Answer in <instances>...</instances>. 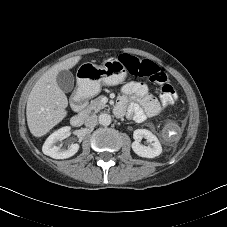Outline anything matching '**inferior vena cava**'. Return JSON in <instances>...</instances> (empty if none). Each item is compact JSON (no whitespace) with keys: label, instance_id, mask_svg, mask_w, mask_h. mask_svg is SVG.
<instances>
[{"label":"inferior vena cava","instance_id":"602c4592","mask_svg":"<svg viewBox=\"0 0 227 227\" xmlns=\"http://www.w3.org/2000/svg\"><path fill=\"white\" fill-rule=\"evenodd\" d=\"M97 125V116L96 115H90L85 120V126L89 128H93Z\"/></svg>","mask_w":227,"mask_h":227}]
</instances>
